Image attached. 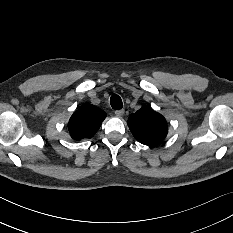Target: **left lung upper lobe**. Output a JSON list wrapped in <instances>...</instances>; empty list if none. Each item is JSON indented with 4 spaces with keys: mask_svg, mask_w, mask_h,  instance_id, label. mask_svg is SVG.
Here are the masks:
<instances>
[{
    "mask_svg": "<svg viewBox=\"0 0 233 233\" xmlns=\"http://www.w3.org/2000/svg\"><path fill=\"white\" fill-rule=\"evenodd\" d=\"M128 126L137 141L149 146L159 144L168 132L165 118L145 105L129 116Z\"/></svg>",
    "mask_w": 233,
    "mask_h": 233,
    "instance_id": "obj_1",
    "label": "left lung upper lobe"
}]
</instances>
